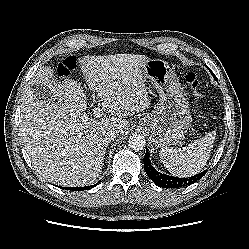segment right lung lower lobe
<instances>
[{"mask_svg":"<svg viewBox=\"0 0 249 249\" xmlns=\"http://www.w3.org/2000/svg\"><path fill=\"white\" fill-rule=\"evenodd\" d=\"M97 184L95 185H92L91 187L90 186H86V187H72V188H69V190H74V191H78V190H86V189H90L94 186H96Z\"/></svg>","mask_w":249,"mask_h":249,"instance_id":"right-lung-lower-lobe-1","label":"right lung lower lobe"}]
</instances>
